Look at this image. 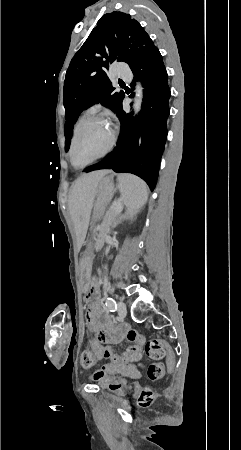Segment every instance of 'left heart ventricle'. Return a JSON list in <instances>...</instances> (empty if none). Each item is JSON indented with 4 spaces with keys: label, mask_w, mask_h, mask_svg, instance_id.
Wrapping results in <instances>:
<instances>
[{
    "label": "left heart ventricle",
    "mask_w": 241,
    "mask_h": 450,
    "mask_svg": "<svg viewBox=\"0 0 241 450\" xmlns=\"http://www.w3.org/2000/svg\"><path fill=\"white\" fill-rule=\"evenodd\" d=\"M80 126L75 130H81L82 148L79 149V156L76 158L78 165H83L86 160H99L103 151L104 141L109 137L108 121L103 114H89L80 121ZM107 124V125H106Z\"/></svg>",
    "instance_id": "b2bd125f"
}]
</instances>
